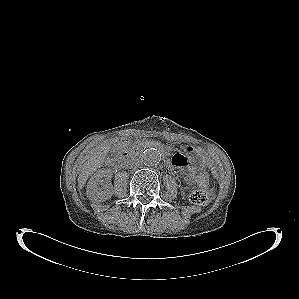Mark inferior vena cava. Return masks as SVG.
<instances>
[{
    "label": "inferior vena cava",
    "mask_w": 299,
    "mask_h": 299,
    "mask_svg": "<svg viewBox=\"0 0 299 299\" xmlns=\"http://www.w3.org/2000/svg\"><path fill=\"white\" fill-rule=\"evenodd\" d=\"M140 164H141L140 161L135 160V161H133V162L131 163V166H130V167L133 168V169H135V168L139 167Z\"/></svg>",
    "instance_id": "obj_1"
}]
</instances>
